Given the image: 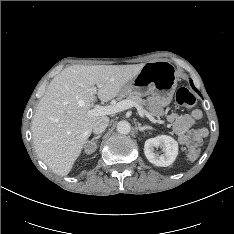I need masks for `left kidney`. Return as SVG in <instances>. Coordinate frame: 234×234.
I'll use <instances>...</instances> for the list:
<instances>
[{
    "label": "left kidney",
    "mask_w": 234,
    "mask_h": 234,
    "mask_svg": "<svg viewBox=\"0 0 234 234\" xmlns=\"http://www.w3.org/2000/svg\"><path fill=\"white\" fill-rule=\"evenodd\" d=\"M159 146L163 148L164 154L159 155L155 152V148ZM144 153L152 164L167 167L175 161L178 155V143L170 136L160 135L146 140Z\"/></svg>",
    "instance_id": "1"
}]
</instances>
